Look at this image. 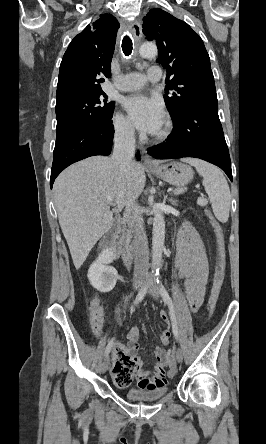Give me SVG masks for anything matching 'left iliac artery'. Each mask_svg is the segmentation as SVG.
<instances>
[{"instance_id": "obj_1", "label": "left iliac artery", "mask_w": 266, "mask_h": 444, "mask_svg": "<svg viewBox=\"0 0 266 444\" xmlns=\"http://www.w3.org/2000/svg\"><path fill=\"white\" fill-rule=\"evenodd\" d=\"M157 283L159 284L160 294H161L164 302L168 305V308L170 311V318H171L172 330H173L174 337L176 339H178L179 338L178 326H177L175 310H174V305H173L172 299L169 296L166 288L162 285V282L159 279H157Z\"/></svg>"}]
</instances>
